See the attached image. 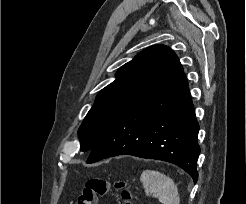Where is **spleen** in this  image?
<instances>
[{"instance_id":"1","label":"spleen","mask_w":246,"mask_h":204,"mask_svg":"<svg viewBox=\"0 0 246 204\" xmlns=\"http://www.w3.org/2000/svg\"><path fill=\"white\" fill-rule=\"evenodd\" d=\"M140 181L146 195H152L162 204H180L178 187L170 177L155 170H144Z\"/></svg>"}]
</instances>
